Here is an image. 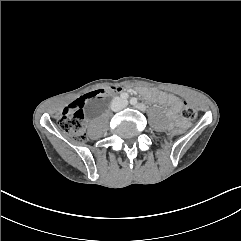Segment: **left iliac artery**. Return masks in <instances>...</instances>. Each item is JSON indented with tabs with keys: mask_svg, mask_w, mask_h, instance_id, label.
Masks as SVG:
<instances>
[{
	"mask_svg": "<svg viewBox=\"0 0 241 241\" xmlns=\"http://www.w3.org/2000/svg\"><path fill=\"white\" fill-rule=\"evenodd\" d=\"M130 104L136 105L137 104V99L135 97L131 98Z\"/></svg>",
	"mask_w": 241,
	"mask_h": 241,
	"instance_id": "obj_1",
	"label": "left iliac artery"
}]
</instances>
